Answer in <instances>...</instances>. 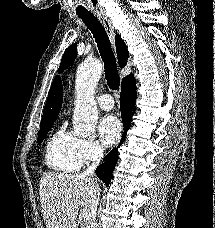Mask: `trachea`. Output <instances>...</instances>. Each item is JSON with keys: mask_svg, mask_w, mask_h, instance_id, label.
<instances>
[{"mask_svg": "<svg viewBox=\"0 0 215 228\" xmlns=\"http://www.w3.org/2000/svg\"><path fill=\"white\" fill-rule=\"evenodd\" d=\"M78 17L83 20L95 38L100 56L104 62L105 78L107 80L108 87L111 88V90H119L120 78L117 70L115 55L112 51L105 28L91 13L78 14Z\"/></svg>", "mask_w": 215, "mask_h": 228, "instance_id": "trachea-1", "label": "trachea"}]
</instances>
